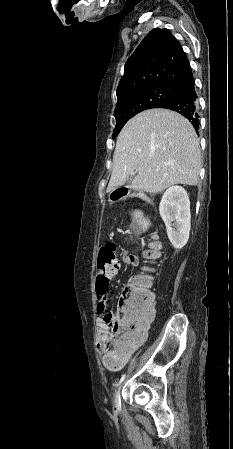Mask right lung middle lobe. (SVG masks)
Segmentation results:
<instances>
[{
  "instance_id": "obj_1",
  "label": "right lung middle lobe",
  "mask_w": 233,
  "mask_h": 449,
  "mask_svg": "<svg viewBox=\"0 0 233 449\" xmlns=\"http://www.w3.org/2000/svg\"><path fill=\"white\" fill-rule=\"evenodd\" d=\"M177 96L178 90L173 86L154 85L119 97L114 113L116 127L112 137L115 138L125 123L139 112L156 108L161 103Z\"/></svg>"
}]
</instances>
